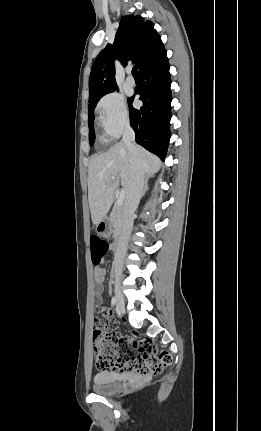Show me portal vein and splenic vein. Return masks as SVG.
Segmentation results:
<instances>
[{
	"mask_svg": "<svg viewBox=\"0 0 261 431\" xmlns=\"http://www.w3.org/2000/svg\"><path fill=\"white\" fill-rule=\"evenodd\" d=\"M112 179H114V177H112ZM124 198H125V191H124V190H121V191L119 192V196H118V199H117L116 204H118V205H122Z\"/></svg>",
	"mask_w": 261,
	"mask_h": 431,
	"instance_id": "portal-vein-and-splenic-vein-1",
	"label": "portal vein and splenic vein"
}]
</instances>
